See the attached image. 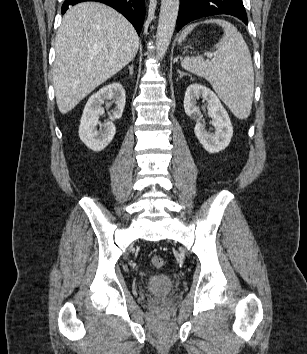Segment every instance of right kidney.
Here are the masks:
<instances>
[{"label":"right kidney","instance_id":"1","mask_svg":"<svg viewBox=\"0 0 307 354\" xmlns=\"http://www.w3.org/2000/svg\"><path fill=\"white\" fill-rule=\"evenodd\" d=\"M108 100H112L115 108L112 111L111 121L101 124L99 117L104 114L102 105ZM125 101V90L118 82L104 86L88 99L79 126V137L88 148L98 152L112 141L116 133L112 121L122 117ZM97 125L100 126V130H97Z\"/></svg>","mask_w":307,"mask_h":354}]
</instances>
